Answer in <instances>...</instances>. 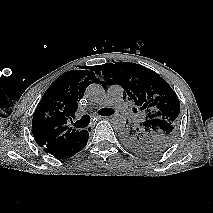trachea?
Masks as SVG:
<instances>
[{
  "instance_id": "1",
  "label": "trachea",
  "mask_w": 213,
  "mask_h": 213,
  "mask_svg": "<svg viewBox=\"0 0 213 213\" xmlns=\"http://www.w3.org/2000/svg\"><path fill=\"white\" fill-rule=\"evenodd\" d=\"M113 113H114V110H112L110 108H103V109L98 111V114H100L102 116H109V115H112ZM89 123H90V116L84 115L80 120H78L73 125L76 128H85L89 125Z\"/></svg>"
}]
</instances>
